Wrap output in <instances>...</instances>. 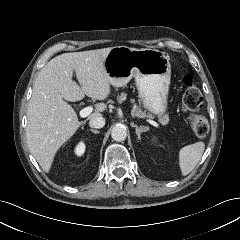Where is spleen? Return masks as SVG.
I'll return each instance as SVG.
<instances>
[{"instance_id": "3e777b00", "label": "spleen", "mask_w": 240, "mask_h": 240, "mask_svg": "<svg viewBox=\"0 0 240 240\" xmlns=\"http://www.w3.org/2000/svg\"><path fill=\"white\" fill-rule=\"evenodd\" d=\"M205 150L204 142L187 145L179 151V166L183 176L188 175L200 161Z\"/></svg>"}]
</instances>
